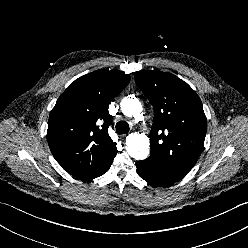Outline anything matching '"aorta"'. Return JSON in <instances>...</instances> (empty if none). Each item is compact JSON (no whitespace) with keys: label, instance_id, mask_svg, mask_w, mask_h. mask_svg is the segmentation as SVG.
<instances>
[{"label":"aorta","instance_id":"aorta-1","mask_svg":"<svg viewBox=\"0 0 248 248\" xmlns=\"http://www.w3.org/2000/svg\"><path fill=\"white\" fill-rule=\"evenodd\" d=\"M121 111L127 117L139 119L142 116L143 107L138 99L124 98L121 101ZM149 138L145 134L131 133L126 138L128 154L137 160H143L149 155Z\"/></svg>","mask_w":248,"mask_h":248}]
</instances>
